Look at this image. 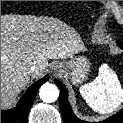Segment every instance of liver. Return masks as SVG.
<instances>
[{
  "label": "liver",
  "mask_w": 123,
  "mask_h": 123,
  "mask_svg": "<svg viewBox=\"0 0 123 123\" xmlns=\"http://www.w3.org/2000/svg\"><path fill=\"white\" fill-rule=\"evenodd\" d=\"M84 50L78 33L65 24L32 16H1V107L15 100L30 80L39 76L48 59L72 58Z\"/></svg>",
  "instance_id": "obj_1"
}]
</instances>
